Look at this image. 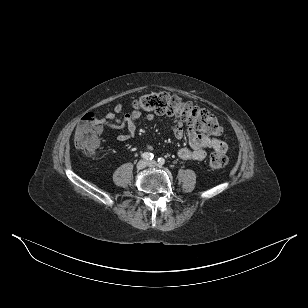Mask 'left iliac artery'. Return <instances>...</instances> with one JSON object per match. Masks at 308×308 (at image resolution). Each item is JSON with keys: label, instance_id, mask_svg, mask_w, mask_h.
<instances>
[{"label": "left iliac artery", "instance_id": "left-iliac-artery-1", "mask_svg": "<svg viewBox=\"0 0 308 308\" xmlns=\"http://www.w3.org/2000/svg\"><path fill=\"white\" fill-rule=\"evenodd\" d=\"M158 163H159V165H163L164 163H165V159L164 158H159L158 159Z\"/></svg>", "mask_w": 308, "mask_h": 308}]
</instances>
